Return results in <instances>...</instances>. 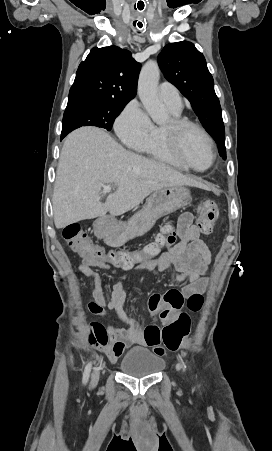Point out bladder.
Here are the masks:
<instances>
[{
  "label": "bladder",
  "mask_w": 272,
  "mask_h": 451,
  "mask_svg": "<svg viewBox=\"0 0 272 451\" xmlns=\"http://www.w3.org/2000/svg\"><path fill=\"white\" fill-rule=\"evenodd\" d=\"M165 361L157 352L142 346H134L120 360V372L128 376H149L159 373Z\"/></svg>",
  "instance_id": "1"
}]
</instances>
